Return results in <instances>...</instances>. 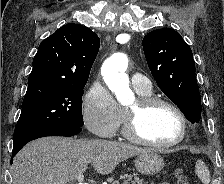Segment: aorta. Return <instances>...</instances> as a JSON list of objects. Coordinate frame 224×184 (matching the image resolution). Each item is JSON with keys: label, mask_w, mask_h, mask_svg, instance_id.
<instances>
[{"label": "aorta", "mask_w": 224, "mask_h": 184, "mask_svg": "<svg viewBox=\"0 0 224 184\" xmlns=\"http://www.w3.org/2000/svg\"><path fill=\"white\" fill-rule=\"evenodd\" d=\"M128 58L125 54L115 53L109 57L101 68V73L109 89L115 93L118 102L125 104L133 98L126 74Z\"/></svg>", "instance_id": "1"}]
</instances>
